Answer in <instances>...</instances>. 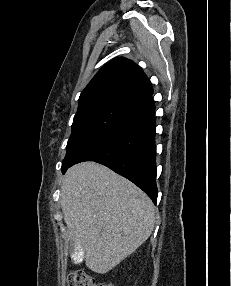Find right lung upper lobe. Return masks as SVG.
Instances as JSON below:
<instances>
[{"label":"right lung upper lobe","instance_id":"right-lung-upper-lobe-1","mask_svg":"<svg viewBox=\"0 0 231 286\" xmlns=\"http://www.w3.org/2000/svg\"><path fill=\"white\" fill-rule=\"evenodd\" d=\"M152 94L142 69L131 60L116 58L82 91L78 110L100 103H116L136 110Z\"/></svg>","mask_w":231,"mask_h":286}]
</instances>
